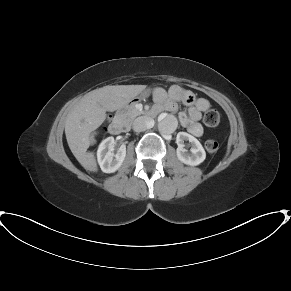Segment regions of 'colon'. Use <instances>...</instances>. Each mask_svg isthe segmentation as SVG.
Masks as SVG:
<instances>
[{
  "label": "colon",
  "instance_id": "1",
  "mask_svg": "<svg viewBox=\"0 0 291 291\" xmlns=\"http://www.w3.org/2000/svg\"><path fill=\"white\" fill-rule=\"evenodd\" d=\"M203 122L208 127H215L220 123V114L216 110H208L203 115ZM205 148L209 153H215L219 144L216 140L209 139L205 142Z\"/></svg>",
  "mask_w": 291,
  "mask_h": 291
}]
</instances>
